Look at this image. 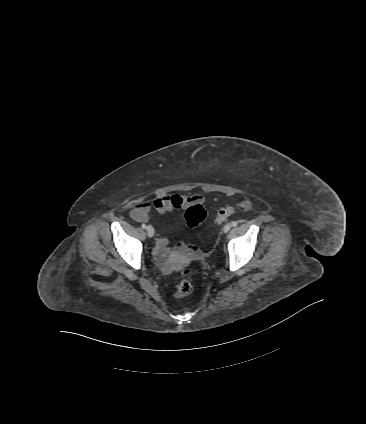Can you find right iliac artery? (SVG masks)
<instances>
[{
    "label": "right iliac artery",
    "instance_id": "obj_1",
    "mask_svg": "<svg viewBox=\"0 0 366 424\" xmlns=\"http://www.w3.org/2000/svg\"><path fill=\"white\" fill-rule=\"evenodd\" d=\"M146 227H147V226H146L145 224H142V228H143V229H146Z\"/></svg>",
    "mask_w": 366,
    "mask_h": 424
}]
</instances>
